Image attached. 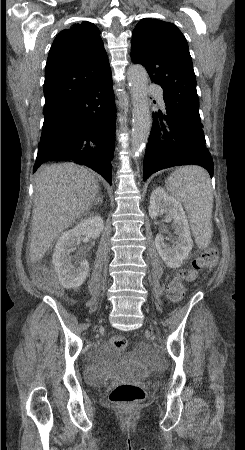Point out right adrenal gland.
Listing matches in <instances>:
<instances>
[{
    "label": "right adrenal gland",
    "mask_w": 245,
    "mask_h": 450,
    "mask_svg": "<svg viewBox=\"0 0 245 450\" xmlns=\"http://www.w3.org/2000/svg\"><path fill=\"white\" fill-rule=\"evenodd\" d=\"M103 204V199L101 195H98V198L95 200L94 205Z\"/></svg>",
    "instance_id": "right-adrenal-gland-1"
}]
</instances>
